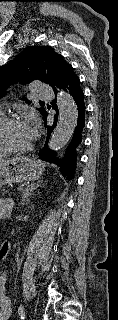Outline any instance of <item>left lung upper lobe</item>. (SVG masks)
Segmentation results:
<instances>
[{
  "instance_id": "5c2ea615",
  "label": "left lung upper lobe",
  "mask_w": 118,
  "mask_h": 320,
  "mask_svg": "<svg viewBox=\"0 0 118 320\" xmlns=\"http://www.w3.org/2000/svg\"><path fill=\"white\" fill-rule=\"evenodd\" d=\"M71 70L72 66L51 47H27L14 61L0 67V96L15 82L27 84L33 80H40L55 90ZM39 111L43 116L46 114L43 108Z\"/></svg>"
}]
</instances>
